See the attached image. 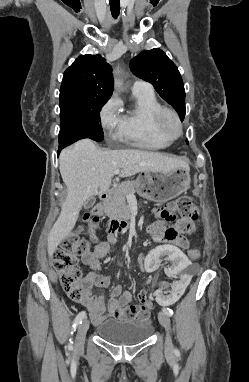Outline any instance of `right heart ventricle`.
Returning <instances> with one entry per match:
<instances>
[{
  "label": "right heart ventricle",
  "instance_id": "right-heart-ventricle-1",
  "mask_svg": "<svg viewBox=\"0 0 249 382\" xmlns=\"http://www.w3.org/2000/svg\"><path fill=\"white\" fill-rule=\"evenodd\" d=\"M132 96L134 104L122 116L116 137L142 149L159 150L168 147L173 140L158 128L156 117L163 106L154 92L132 91Z\"/></svg>",
  "mask_w": 249,
  "mask_h": 382
}]
</instances>
